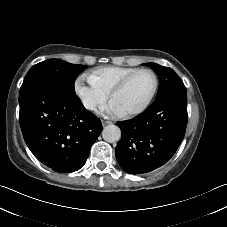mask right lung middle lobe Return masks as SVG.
<instances>
[{"label":"right lung middle lobe","mask_w":227,"mask_h":227,"mask_svg":"<svg viewBox=\"0 0 227 227\" xmlns=\"http://www.w3.org/2000/svg\"><path fill=\"white\" fill-rule=\"evenodd\" d=\"M86 67L85 65L70 64L59 59L40 62L34 65L26 74L20 93L38 84H49L75 95V79Z\"/></svg>","instance_id":"dd1d6c3e"}]
</instances>
